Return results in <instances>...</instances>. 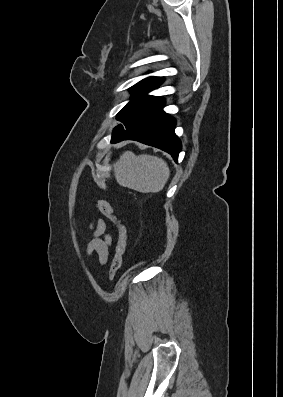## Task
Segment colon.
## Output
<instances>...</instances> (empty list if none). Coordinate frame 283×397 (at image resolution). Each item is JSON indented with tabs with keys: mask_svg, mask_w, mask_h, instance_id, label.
Here are the masks:
<instances>
[{
	"mask_svg": "<svg viewBox=\"0 0 283 397\" xmlns=\"http://www.w3.org/2000/svg\"><path fill=\"white\" fill-rule=\"evenodd\" d=\"M98 208L100 212L115 225L118 231V240L115 247V254L112 259L110 269L107 273L108 279L113 280L122 266L123 255L127 243V228L115 215L112 206L107 200L100 199L98 201Z\"/></svg>",
	"mask_w": 283,
	"mask_h": 397,
	"instance_id": "1",
	"label": "colon"
}]
</instances>
